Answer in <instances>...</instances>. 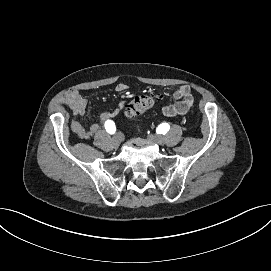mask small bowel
<instances>
[{"label":"small bowel","instance_id":"small-bowel-1","mask_svg":"<svg viewBox=\"0 0 271 271\" xmlns=\"http://www.w3.org/2000/svg\"><path fill=\"white\" fill-rule=\"evenodd\" d=\"M115 90L123 93L129 90V86L124 83L116 85ZM174 103L164 106L162 114L166 117L184 116L187 115L193 105V95L191 89L187 85H182L173 93ZM61 102L69 107V109L76 116H82L85 113L87 100L81 95L78 90L72 89L61 98ZM124 108V103L119 102L115 105L112 112H104L100 115L98 122L92 123L90 126L85 127L79 121L72 120L71 129L81 139H89L93 137L102 125L109 118L116 115Z\"/></svg>","mask_w":271,"mask_h":271}]
</instances>
